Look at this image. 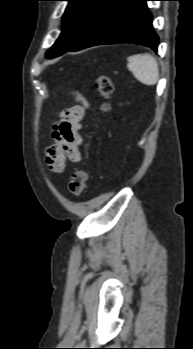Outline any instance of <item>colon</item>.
I'll return each instance as SVG.
<instances>
[{
  "instance_id": "colon-1",
  "label": "colon",
  "mask_w": 193,
  "mask_h": 349,
  "mask_svg": "<svg viewBox=\"0 0 193 349\" xmlns=\"http://www.w3.org/2000/svg\"><path fill=\"white\" fill-rule=\"evenodd\" d=\"M94 87L99 95L104 99L100 105L101 112H107L110 109L107 100L111 97L113 92V84L110 77L101 75L98 76L94 82ZM88 180V175L85 170L78 169L72 173L69 180V191L74 196H80Z\"/></svg>"
}]
</instances>
